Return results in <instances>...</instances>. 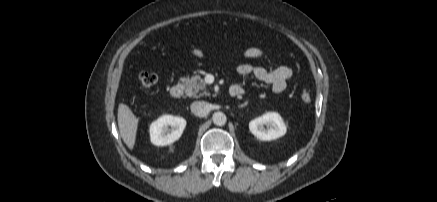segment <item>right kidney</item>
Returning <instances> with one entry per match:
<instances>
[{
  "label": "right kidney",
  "instance_id": "1",
  "mask_svg": "<svg viewBox=\"0 0 437 202\" xmlns=\"http://www.w3.org/2000/svg\"><path fill=\"white\" fill-rule=\"evenodd\" d=\"M171 126L170 132L168 127ZM186 127L182 117L163 115L150 125V139L156 146H166L178 140Z\"/></svg>",
  "mask_w": 437,
  "mask_h": 202
}]
</instances>
